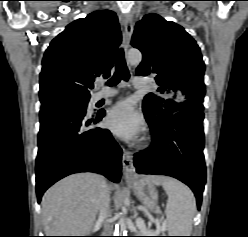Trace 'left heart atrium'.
Returning <instances> with one entry per match:
<instances>
[{
    "label": "left heart atrium",
    "mask_w": 248,
    "mask_h": 237,
    "mask_svg": "<svg viewBox=\"0 0 248 237\" xmlns=\"http://www.w3.org/2000/svg\"><path fill=\"white\" fill-rule=\"evenodd\" d=\"M106 126L125 140L137 139L143 130V120L130 101L115 104L108 112Z\"/></svg>",
    "instance_id": "39dd6f15"
}]
</instances>
